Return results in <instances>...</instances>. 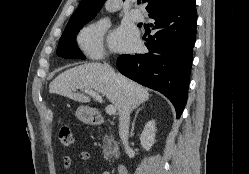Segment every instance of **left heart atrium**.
Here are the masks:
<instances>
[{
	"instance_id": "1",
	"label": "left heart atrium",
	"mask_w": 249,
	"mask_h": 174,
	"mask_svg": "<svg viewBox=\"0 0 249 174\" xmlns=\"http://www.w3.org/2000/svg\"><path fill=\"white\" fill-rule=\"evenodd\" d=\"M136 39L128 30L122 29L110 37V44L115 49H132Z\"/></svg>"
}]
</instances>
